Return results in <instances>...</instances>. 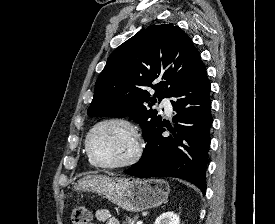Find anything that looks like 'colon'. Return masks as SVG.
Listing matches in <instances>:
<instances>
[{
  "instance_id": "colon-1",
  "label": "colon",
  "mask_w": 275,
  "mask_h": 224,
  "mask_svg": "<svg viewBox=\"0 0 275 224\" xmlns=\"http://www.w3.org/2000/svg\"><path fill=\"white\" fill-rule=\"evenodd\" d=\"M72 224H91V213L83 205L76 206L71 214Z\"/></svg>"
}]
</instances>
